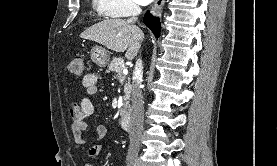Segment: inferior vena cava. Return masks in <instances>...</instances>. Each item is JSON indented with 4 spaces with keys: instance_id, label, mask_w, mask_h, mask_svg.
Returning <instances> with one entry per match:
<instances>
[{
    "instance_id": "inferior-vena-cava-1",
    "label": "inferior vena cava",
    "mask_w": 277,
    "mask_h": 166,
    "mask_svg": "<svg viewBox=\"0 0 277 166\" xmlns=\"http://www.w3.org/2000/svg\"><path fill=\"white\" fill-rule=\"evenodd\" d=\"M141 8L133 5L132 17L128 20L130 23L136 22L137 16L141 13ZM134 82L132 86V116L129 132L130 145L128 157L136 158L139 152L140 137L143 129L144 107L143 95L140 88L142 83L143 66L141 59H138L134 69Z\"/></svg>"
}]
</instances>
